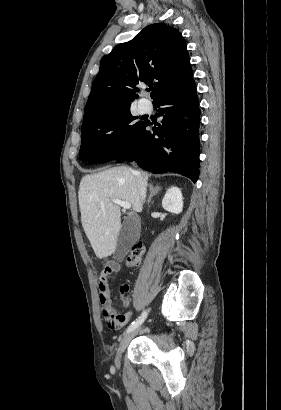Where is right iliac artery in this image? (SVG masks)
Returning <instances> with one entry per match:
<instances>
[{
    "label": "right iliac artery",
    "mask_w": 281,
    "mask_h": 410,
    "mask_svg": "<svg viewBox=\"0 0 281 410\" xmlns=\"http://www.w3.org/2000/svg\"><path fill=\"white\" fill-rule=\"evenodd\" d=\"M147 317V312L144 311L134 322H132L126 330V333L131 332L135 328H137Z\"/></svg>",
    "instance_id": "obj_1"
}]
</instances>
